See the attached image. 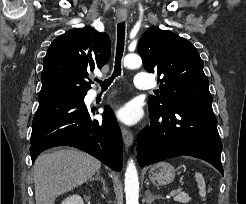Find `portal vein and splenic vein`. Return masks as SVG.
<instances>
[{
	"mask_svg": "<svg viewBox=\"0 0 246 204\" xmlns=\"http://www.w3.org/2000/svg\"><path fill=\"white\" fill-rule=\"evenodd\" d=\"M177 193H178V191H175V190H174V191H171L170 195H171V196H174V195H176Z\"/></svg>",
	"mask_w": 246,
	"mask_h": 204,
	"instance_id": "1",
	"label": "portal vein and splenic vein"
}]
</instances>
